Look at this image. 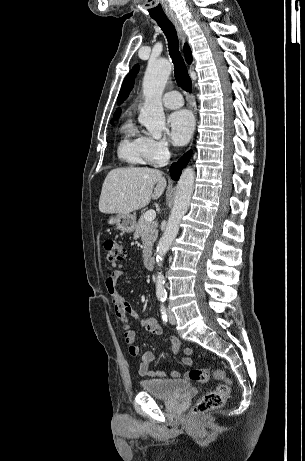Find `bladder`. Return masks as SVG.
<instances>
[{
  "label": "bladder",
  "mask_w": 305,
  "mask_h": 461,
  "mask_svg": "<svg viewBox=\"0 0 305 461\" xmlns=\"http://www.w3.org/2000/svg\"><path fill=\"white\" fill-rule=\"evenodd\" d=\"M139 384L142 391L163 399H173L191 388L190 382L182 379L142 378Z\"/></svg>",
  "instance_id": "bladder-1"
}]
</instances>
